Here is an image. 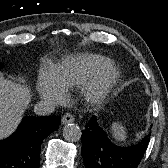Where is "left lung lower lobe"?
<instances>
[{
  "instance_id": "obj_1",
  "label": "left lung lower lobe",
  "mask_w": 168,
  "mask_h": 168,
  "mask_svg": "<svg viewBox=\"0 0 168 168\" xmlns=\"http://www.w3.org/2000/svg\"><path fill=\"white\" fill-rule=\"evenodd\" d=\"M151 134L135 145L113 144L93 116L82 130L81 153L85 168H137L148 147Z\"/></svg>"
}]
</instances>
